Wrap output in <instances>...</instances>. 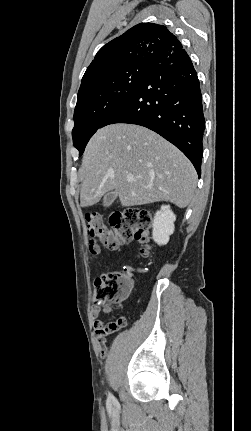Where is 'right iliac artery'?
Wrapping results in <instances>:
<instances>
[{"mask_svg":"<svg viewBox=\"0 0 251 431\" xmlns=\"http://www.w3.org/2000/svg\"><path fill=\"white\" fill-rule=\"evenodd\" d=\"M108 399L113 400L114 399L113 395L109 393Z\"/></svg>","mask_w":251,"mask_h":431,"instance_id":"right-iliac-artery-1","label":"right iliac artery"}]
</instances>
